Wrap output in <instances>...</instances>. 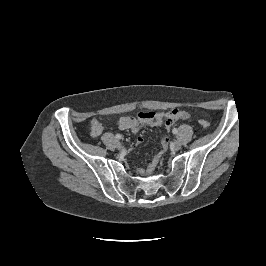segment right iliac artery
<instances>
[{"instance_id": "obj_1", "label": "right iliac artery", "mask_w": 266, "mask_h": 266, "mask_svg": "<svg viewBox=\"0 0 266 266\" xmlns=\"http://www.w3.org/2000/svg\"><path fill=\"white\" fill-rule=\"evenodd\" d=\"M117 139H121L122 138V135L121 134H116L115 136Z\"/></svg>"}]
</instances>
